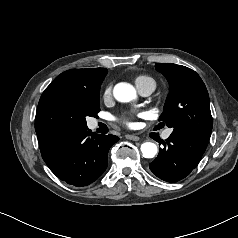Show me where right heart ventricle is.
I'll return each instance as SVG.
<instances>
[{
  "label": "right heart ventricle",
  "mask_w": 238,
  "mask_h": 238,
  "mask_svg": "<svg viewBox=\"0 0 238 238\" xmlns=\"http://www.w3.org/2000/svg\"><path fill=\"white\" fill-rule=\"evenodd\" d=\"M135 85L138 89H141L146 86H153L155 88L156 82L149 75H138L134 78Z\"/></svg>",
  "instance_id": "obj_1"
}]
</instances>
